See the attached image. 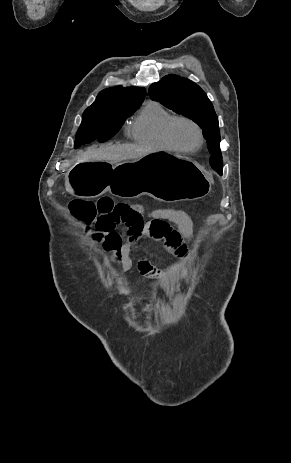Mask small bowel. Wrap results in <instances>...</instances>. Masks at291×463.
I'll return each mask as SVG.
<instances>
[{"label":"small bowel","instance_id":"1","mask_svg":"<svg viewBox=\"0 0 291 463\" xmlns=\"http://www.w3.org/2000/svg\"><path fill=\"white\" fill-rule=\"evenodd\" d=\"M126 240L116 229H98L92 232L88 239L91 244H102L103 248L112 254V263L121 270L127 271L133 266L131 251L143 238L152 241H163L166 248L183 263L191 261L192 253L188 241L193 234L192 223L188 215L169 208H159L144 211L142 207L131 205V212L124 222ZM171 224L178 227L173 229ZM139 272L152 279H166L167 274L156 269L146 258L138 261Z\"/></svg>","mask_w":291,"mask_h":463}]
</instances>
